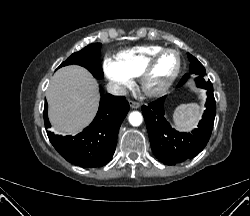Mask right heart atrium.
Returning <instances> with one entry per match:
<instances>
[{
	"instance_id": "1",
	"label": "right heart atrium",
	"mask_w": 250,
	"mask_h": 216,
	"mask_svg": "<svg viewBox=\"0 0 250 216\" xmlns=\"http://www.w3.org/2000/svg\"><path fill=\"white\" fill-rule=\"evenodd\" d=\"M103 70L106 77L118 90L123 91L132 85V77L121 68L116 60L111 58L105 59Z\"/></svg>"
}]
</instances>
